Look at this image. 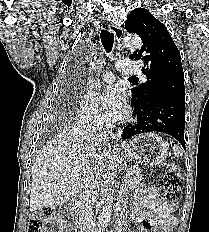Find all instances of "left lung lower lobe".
Here are the masks:
<instances>
[{"mask_svg":"<svg viewBox=\"0 0 209 232\" xmlns=\"http://www.w3.org/2000/svg\"><path fill=\"white\" fill-rule=\"evenodd\" d=\"M136 124L123 129V139L146 132H162L174 137L185 149V100L157 99L149 101L140 108H134Z\"/></svg>","mask_w":209,"mask_h":232,"instance_id":"left-lung-lower-lobe-1","label":"left lung lower lobe"}]
</instances>
